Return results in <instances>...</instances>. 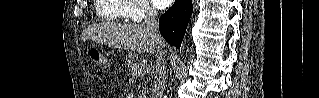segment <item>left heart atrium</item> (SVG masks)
<instances>
[{
    "mask_svg": "<svg viewBox=\"0 0 319 98\" xmlns=\"http://www.w3.org/2000/svg\"><path fill=\"white\" fill-rule=\"evenodd\" d=\"M153 3L158 9H164L170 5L171 0H153Z\"/></svg>",
    "mask_w": 319,
    "mask_h": 98,
    "instance_id": "left-heart-atrium-1",
    "label": "left heart atrium"
}]
</instances>
